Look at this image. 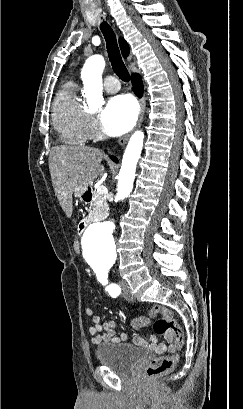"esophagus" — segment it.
<instances>
[{"instance_id": "obj_1", "label": "esophagus", "mask_w": 243, "mask_h": 409, "mask_svg": "<svg viewBox=\"0 0 243 409\" xmlns=\"http://www.w3.org/2000/svg\"><path fill=\"white\" fill-rule=\"evenodd\" d=\"M139 103H140V111H139V117H138V122L136 125V129L140 127L142 120H143V116H144V112H145V108H146V102H145V98L141 97L139 98ZM130 134H127L123 137H121L118 141V144L123 146L126 144L127 140L129 139Z\"/></svg>"}]
</instances>
